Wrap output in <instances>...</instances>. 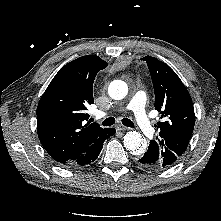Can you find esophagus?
Returning <instances> with one entry per match:
<instances>
[{
    "label": "esophagus",
    "mask_w": 221,
    "mask_h": 221,
    "mask_svg": "<svg viewBox=\"0 0 221 221\" xmlns=\"http://www.w3.org/2000/svg\"><path fill=\"white\" fill-rule=\"evenodd\" d=\"M116 129H117L118 131H127V130H129L130 128L118 124V125H116Z\"/></svg>",
    "instance_id": "esophagus-1"
}]
</instances>
